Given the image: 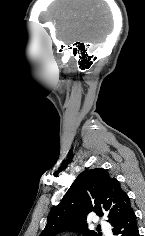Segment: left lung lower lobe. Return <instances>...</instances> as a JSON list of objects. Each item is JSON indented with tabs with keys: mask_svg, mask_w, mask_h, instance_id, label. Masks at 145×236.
<instances>
[{
	"mask_svg": "<svg viewBox=\"0 0 145 236\" xmlns=\"http://www.w3.org/2000/svg\"><path fill=\"white\" fill-rule=\"evenodd\" d=\"M113 227L112 231L116 236H139L137 219L133 209Z\"/></svg>",
	"mask_w": 145,
	"mask_h": 236,
	"instance_id": "1",
	"label": "left lung lower lobe"
}]
</instances>
